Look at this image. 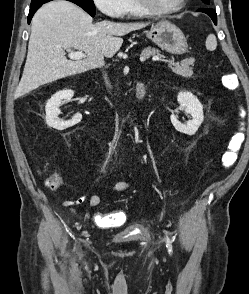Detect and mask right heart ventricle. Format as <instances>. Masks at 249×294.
Returning a JSON list of instances; mask_svg holds the SVG:
<instances>
[{"mask_svg": "<svg viewBox=\"0 0 249 294\" xmlns=\"http://www.w3.org/2000/svg\"><path fill=\"white\" fill-rule=\"evenodd\" d=\"M122 15L140 17L146 14L140 9L136 0H124Z\"/></svg>", "mask_w": 249, "mask_h": 294, "instance_id": "obj_1", "label": "right heart ventricle"}]
</instances>
